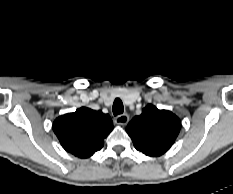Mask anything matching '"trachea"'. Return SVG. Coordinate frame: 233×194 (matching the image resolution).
<instances>
[{"mask_svg": "<svg viewBox=\"0 0 233 194\" xmlns=\"http://www.w3.org/2000/svg\"><path fill=\"white\" fill-rule=\"evenodd\" d=\"M112 110H113L114 116H117V115H120V114L123 113V111H124V106H123L122 101H121L119 98H116V99H115V101H114V103H113Z\"/></svg>", "mask_w": 233, "mask_h": 194, "instance_id": "3493384b", "label": "trachea"}]
</instances>
